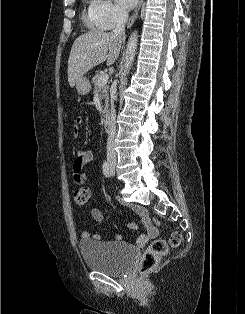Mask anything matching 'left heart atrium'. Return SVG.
<instances>
[{
	"label": "left heart atrium",
	"instance_id": "1",
	"mask_svg": "<svg viewBox=\"0 0 245 314\" xmlns=\"http://www.w3.org/2000/svg\"><path fill=\"white\" fill-rule=\"evenodd\" d=\"M118 5L124 9H131L137 3V0H116Z\"/></svg>",
	"mask_w": 245,
	"mask_h": 314
}]
</instances>
